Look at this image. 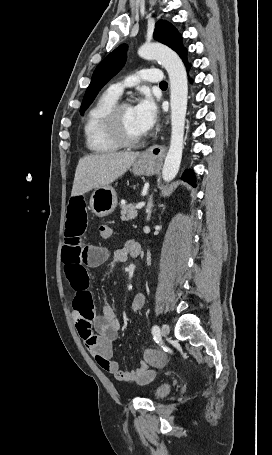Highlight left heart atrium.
Segmentation results:
<instances>
[{"label": "left heart atrium", "mask_w": 272, "mask_h": 455, "mask_svg": "<svg viewBox=\"0 0 272 455\" xmlns=\"http://www.w3.org/2000/svg\"><path fill=\"white\" fill-rule=\"evenodd\" d=\"M136 120L143 134L147 133L156 123L158 110L154 100L145 96L134 107Z\"/></svg>", "instance_id": "obj_1"}]
</instances>
